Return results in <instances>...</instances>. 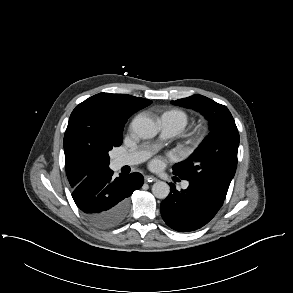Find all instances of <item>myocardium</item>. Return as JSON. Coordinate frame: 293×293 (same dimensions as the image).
I'll use <instances>...</instances> for the list:
<instances>
[{
  "mask_svg": "<svg viewBox=\"0 0 293 293\" xmlns=\"http://www.w3.org/2000/svg\"><path fill=\"white\" fill-rule=\"evenodd\" d=\"M204 138V131L201 127H197L189 135V143L193 146H197L202 142Z\"/></svg>",
  "mask_w": 293,
  "mask_h": 293,
  "instance_id": "f54148a6",
  "label": "myocardium"
}]
</instances>
